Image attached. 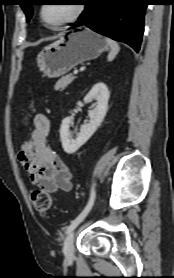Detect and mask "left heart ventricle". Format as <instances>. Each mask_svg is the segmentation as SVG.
Instances as JSON below:
<instances>
[{"instance_id":"obj_1","label":"left heart ventricle","mask_w":174,"mask_h":278,"mask_svg":"<svg viewBox=\"0 0 174 278\" xmlns=\"http://www.w3.org/2000/svg\"><path fill=\"white\" fill-rule=\"evenodd\" d=\"M75 9L76 4H47L43 8V16L49 25L55 26L72 16Z\"/></svg>"}]
</instances>
